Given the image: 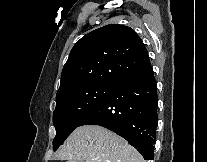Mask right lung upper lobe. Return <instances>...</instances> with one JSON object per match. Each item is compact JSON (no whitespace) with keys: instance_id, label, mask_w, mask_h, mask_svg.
<instances>
[{"instance_id":"obj_1","label":"right lung upper lobe","mask_w":207,"mask_h":162,"mask_svg":"<svg viewBox=\"0 0 207 162\" xmlns=\"http://www.w3.org/2000/svg\"><path fill=\"white\" fill-rule=\"evenodd\" d=\"M149 64L140 37L128 26L110 24L83 36L72 48L62 70L56 97L96 84H116Z\"/></svg>"}]
</instances>
